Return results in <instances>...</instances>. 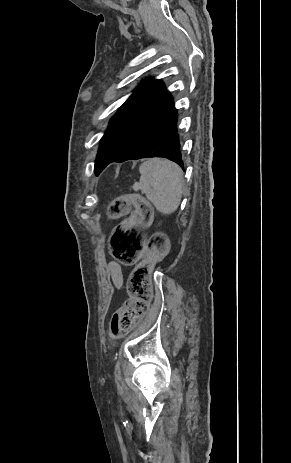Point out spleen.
I'll return each instance as SVG.
<instances>
[{
	"label": "spleen",
	"instance_id": "3e777b00",
	"mask_svg": "<svg viewBox=\"0 0 291 463\" xmlns=\"http://www.w3.org/2000/svg\"><path fill=\"white\" fill-rule=\"evenodd\" d=\"M140 181L132 186L134 191L145 194L162 214L169 215L177 210L183 192V173L175 163L162 159H149L139 168Z\"/></svg>",
	"mask_w": 291,
	"mask_h": 463
}]
</instances>
